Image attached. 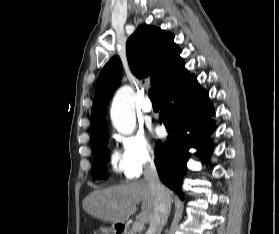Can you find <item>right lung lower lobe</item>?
Masks as SVG:
<instances>
[{
	"instance_id": "right-lung-lower-lobe-1",
	"label": "right lung lower lobe",
	"mask_w": 279,
	"mask_h": 234,
	"mask_svg": "<svg viewBox=\"0 0 279 234\" xmlns=\"http://www.w3.org/2000/svg\"><path fill=\"white\" fill-rule=\"evenodd\" d=\"M159 101V121L165 125L169 136L166 142H156L155 163L161 181L182 199L189 149L197 148L196 154L203 162L212 152L210 135L216 126L211 116L215 111L207 91L187 69L159 94Z\"/></svg>"
}]
</instances>
